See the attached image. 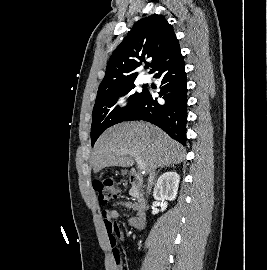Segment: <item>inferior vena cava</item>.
I'll return each mask as SVG.
<instances>
[{
  "label": "inferior vena cava",
  "mask_w": 267,
  "mask_h": 270,
  "mask_svg": "<svg viewBox=\"0 0 267 270\" xmlns=\"http://www.w3.org/2000/svg\"><path fill=\"white\" fill-rule=\"evenodd\" d=\"M154 178H155V172L152 171L149 173V177H148V187H147L148 193H150V191H151V187L153 185Z\"/></svg>",
  "instance_id": "602c4592"
}]
</instances>
